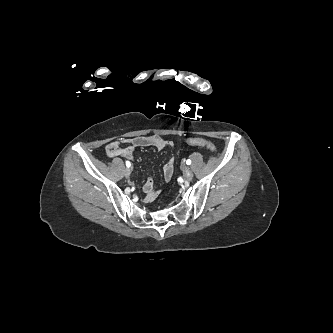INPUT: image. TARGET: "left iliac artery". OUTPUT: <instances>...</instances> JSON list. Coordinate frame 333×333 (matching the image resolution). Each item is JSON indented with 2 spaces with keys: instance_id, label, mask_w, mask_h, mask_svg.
<instances>
[{
  "instance_id": "obj_1",
  "label": "left iliac artery",
  "mask_w": 333,
  "mask_h": 333,
  "mask_svg": "<svg viewBox=\"0 0 333 333\" xmlns=\"http://www.w3.org/2000/svg\"><path fill=\"white\" fill-rule=\"evenodd\" d=\"M186 164H187V165H190V164H191V160L188 159V160L186 161Z\"/></svg>"
}]
</instances>
